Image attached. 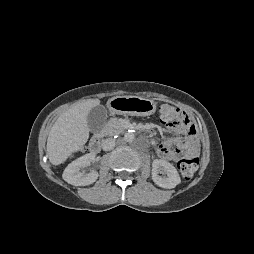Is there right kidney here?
Wrapping results in <instances>:
<instances>
[{
    "label": "right kidney",
    "instance_id": "ca27d5eb",
    "mask_svg": "<svg viewBox=\"0 0 254 254\" xmlns=\"http://www.w3.org/2000/svg\"><path fill=\"white\" fill-rule=\"evenodd\" d=\"M94 160L95 154L92 153L77 158L66 167L62 175L63 179L75 186H86L94 183L98 178V172L94 170L89 173L81 171L84 166L89 165Z\"/></svg>",
    "mask_w": 254,
    "mask_h": 254
}]
</instances>
